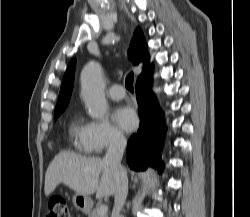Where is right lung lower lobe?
Here are the masks:
<instances>
[{
  "instance_id": "obj_1",
  "label": "right lung lower lobe",
  "mask_w": 250,
  "mask_h": 217,
  "mask_svg": "<svg viewBox=\"0 0 250 217\" xmlns=\"http://www.w3.org/2000/svg\"><path fill=\"white\" fill-rule=\"evenodd\" d=\"M152 66L147 68L137 81L136 94L140 127L127 144V162L131 169L144 170L148 166L163 169L160 159L166 127L163 114L151 91Z\"/></svg>"
}]
</instances>
